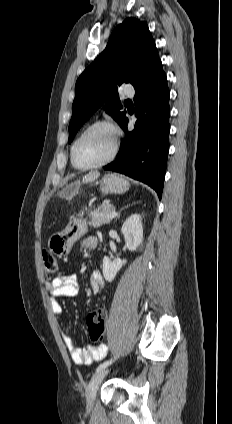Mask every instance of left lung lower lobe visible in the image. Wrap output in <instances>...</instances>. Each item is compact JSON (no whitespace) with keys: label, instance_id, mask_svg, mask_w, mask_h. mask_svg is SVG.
Wrapping results in <instances>:
<instances>
[{"label":"left lung lower lobe","instance_id":"0a47b994","mask_svg":"<svg viewBox=\"0 0 232 424\" xmlns=\"http://www.w3.org/2000/svg\"><path fill=\"white\" fill-rule=\"evenodd\" d=\"M137 121L128 132L126 116L120 126L126 133L116 160L105 170L125 174L152 187L161 199L169 150V89L161 61L135 87Z\"/></svg>","mask_w":232,"mask_h":424}]
</instances>
